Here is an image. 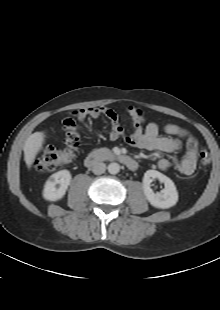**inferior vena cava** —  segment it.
Segmentation results:
<instances>
[{
  "instance_id": "obj_1",
  "label": "inferior vena cava",
  "mask_w": 220,
  "mask_h": 310,
  "mask_svg": "<svg viewBox=\"0 0 220 310\" xmlns=\"http://www.w3.org/2000/svg\"><path fill=\"white\" fill-rule=\"evenodd\" d=\"M106 170V164L103 162H95L92 166V172L96 175H101Z\"/></svg>"
}]
</instances>
